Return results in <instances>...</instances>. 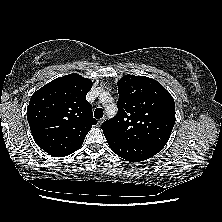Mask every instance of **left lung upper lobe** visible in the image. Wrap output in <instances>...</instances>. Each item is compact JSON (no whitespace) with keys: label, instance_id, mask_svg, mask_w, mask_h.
I'll list each match as a JSON object with an SVG mask.
<instances>
[{"label":"left lung upper lobe","instance_id":"5c2ea615","mask_svg":"<svg viewBox=\"0 0 222 222\" xmlns=\"http://www.w3.org/2000/svg\"><path fill=\"white\" fill-rule=\"evenodd\" d=\"M118 113L102 124L104 135L164 147L175 124V103L156 80L125 75L118 81Z\"/></svg>","mask_w":222,"mask_h":222}]
</instances>
